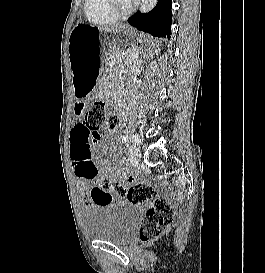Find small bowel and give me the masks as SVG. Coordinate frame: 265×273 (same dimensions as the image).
Listing matches in <instances>:
<instances>
[{"mask_svg":"<svg viewBox=\"0 0 265 273\" xmlns=\"http://www.w3.org/2000/svg\"><path fill=\"white\" fill-rule=\"evenodd\" d=\"M83 103V100H80ZM74 115L82 114L84 105L76 104ZM70 160L72 168L78 179L82 191V202L85 206L90 204H113L114 197L111 190H103V186H90L100 174L112 175L114 167L104 163L98 165L91 156L89 144V130L81 121L74 124L70 134Z\"/></svg>","mask_w":265,"mask_h":273,"instance_id":"1","label":"small bowel"}]
</instances>
